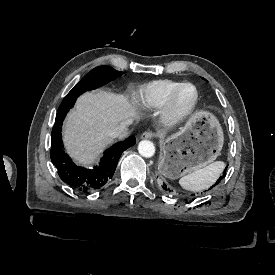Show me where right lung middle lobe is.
Wrapping results in <instances>:
<instances>
[{
  "label": "right lung middle lobe",
  "mask_w": 275,
  "mask_h": 275,
  "mask_svg": "<svg viewBox=\"0 0 275 275\" xmlns=\"http://www.w3.org/2000/svg\"><path fill=\"white\" fill-rule=\"evenodd\" d=\"M122 74L123 72L117 71L110 66L96 67L77 83V85L67 94L62 103L75 102L77 97L85 91L96 89Z\"/></svg>",
  "instance_id": "right-lung-middle-lobe-1"
}]
</instances>
